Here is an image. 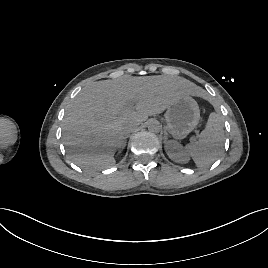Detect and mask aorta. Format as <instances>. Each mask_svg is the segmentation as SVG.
I'll return each instance as SVG.
<instances>
[{
	"mask_svg": "<svg viewBox=\"0 0 268 268\" xmlns=\"http://www.w3.org/2000/svg\"><path fill=\"white\" fill-rule=\"evenodd\" d=\"M147 128H148L149 132L159 133L162 129V126L158 120L151 119L147 123Z\"/></svg>",
	"mask_w": 268,
	"mask_h": 268,
	"instance_id": "obj_1",
	"label": "aorta"
}]
</instances>
